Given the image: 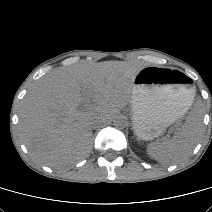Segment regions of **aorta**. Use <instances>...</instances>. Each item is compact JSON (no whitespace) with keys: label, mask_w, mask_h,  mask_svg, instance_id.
Here are the masks:
<instances>
[{"label":"aorta","mask_w":212,"mask_h":212,"mask_svg":"<svg viewBox=\"0 0 212 212\" xmlns=\"http://www.w3.org/2000/svg\"><path fill=\"white\" fill-rule=\"evenodd\" d=\"M113 125L116 128L124 129L128 125V120L125 116L118 115L115 117V119L113 121Z\"/></svg>","instance_id":"aorta-1"}]
</instances>
